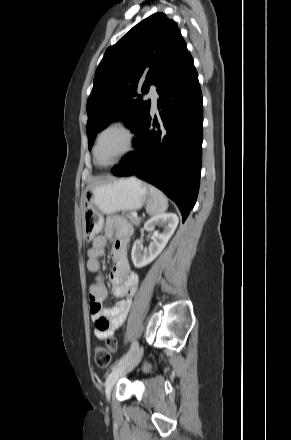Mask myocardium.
<instances>
[{
    "label": "myocardium",
    "instance_id": "myocardium-1",
    "mask_svg": "<svg viewBox=\"0 0 291 440\" xmlns=\"http://www.w3.org/2000/svg\"><path fill=\"white\" fill-rule=\"evenodd\" d=\"M117 132L120 133L124 138V149L121 152V154L113 159L112 161L106 162V163H99L97 161V150L100 145L101 140L103 137H105L107 134ZM134 146V135L132 130L129 128V126L122 122V121H113L107 125H105L100 131L97 133L93 148H92V156H93V162L95 165L101 168H108L112 167L116 164H118L120 161H122L124 158H126L132 151Z\"/></svg>",
    "mask_w": 291,
    "mask_h": 440
}]
</instances>
